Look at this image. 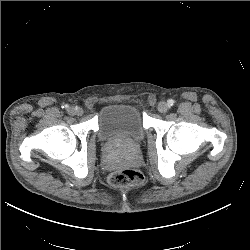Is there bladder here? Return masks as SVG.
Returning a JSON list of instances; mask_svg holds the SVG:
<instances>
[{
    "instance_id": "31cf9c89",
    "label": "bladder",
    "mask_w": 250,
    "mask_h": 250,
    "mask_svg": "<svg viewBox=\"0 0 250 250\" xmlns=\"http://www.w3.org/2000/svg\"><path fill=\"white\" fill-rule=\"evenodd\" d=\"M97 137L101 143L142 142L146 137V129L139 109L129 103L105 105L98 118Z\"/></svg>"
}]
</instances>
